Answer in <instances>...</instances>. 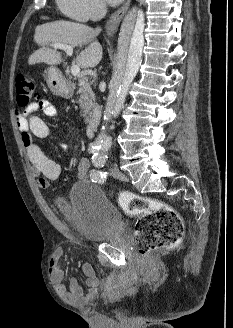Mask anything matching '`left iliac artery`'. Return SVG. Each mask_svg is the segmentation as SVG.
<instances>
[{
    "instance_id": "left-iliac-artery-1",
    "label": "left iliac artery",
    "mask_w": 233,
    "mask_h": 328,
    "mask_svg": "<svg viewBox=\"0 0 233 328\" xmlns=\"http://www.w3.org/2000/svg\"><path fill=\"white\" fill-rule=\"evenodd\" d=\"M108 151V147H105L102 149L101 152H97L93 154L92 156V163L94 164L95 167L97 168H102L106 161H107V154L106 152ZM90 177L92 179V182H97V183H104L106 178H107V173L101 170H91Z\"/></svg>"
}]
</instances>
